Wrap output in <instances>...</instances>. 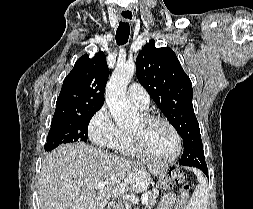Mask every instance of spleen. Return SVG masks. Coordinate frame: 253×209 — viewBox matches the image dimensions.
Wrapping results in <instances>:
<instances>
[{"label": "spleen", "mask_w": 253, "mask_h": 209, "mask_svg": "<svg viewBox=\"0 0 253 209\" xmlns=\"http://www.w3.org/2000/svg\"><path fill=\"white\" fill-rule=\"evenodd\" d=\"M198 178V185L196 186L192 197L188 202L187 209H207L208 207V184L204 175L194 170Z\"/></svg>", "instance_id": "spleen-1"}]
</instances>
